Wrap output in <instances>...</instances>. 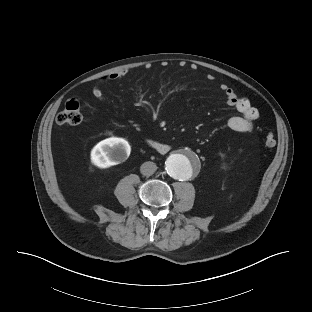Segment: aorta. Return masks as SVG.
<instances>
[{"label":"aorta","instance_id":"762f6f07","mask_svg":"<svg viewBox=\"0 0 312 312\" xmlns=\"http://www.w3.org/2000/svg\"><path fill=\"white\" fill-rule=\"evenodd\" d=\"M197 163L198 159L193 154H174L166 160L165 169L172 178L186 180L191 176L192 170Z\"/></svg>","mask_w":312,"mask_h":312}]
</instances>
